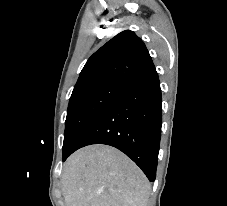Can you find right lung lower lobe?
Instances as JSON below:
<instances>
[{
	"mask_svg": "<svg viewBox=\"0 0 227 206\" xmlns=\"http://www.w3.org/2000/svg\"><path fill=\"white\" fill-rule=\"evenodd\" d=\"M161 125V89L153 68L128 82L126 90L90 124L70 154L91 144L116 147L152 182L156 177Z\"/></svg>",
	"mask_w": 227,
	"mask_h": 206,
	"instance_id": "98d812e1",
	"label": "right lung lower lobe"
}]
</instances>
